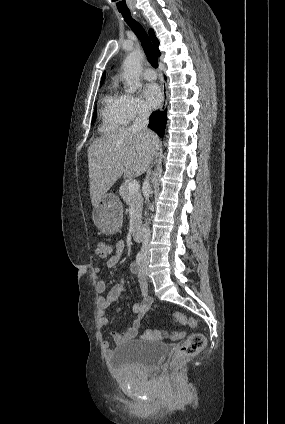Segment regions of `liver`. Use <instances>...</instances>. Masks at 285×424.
<instances>
[{
  "label": "liver",
  "instance_id": "obj_1",
  "mask_svg": "<svg viewBox=\"0 0 285 424\" xmlns=\"http://www.w3.org/2000/svg\"><path fill=\"white\" fill-rule=\"evenodd\" d=\"M158 146L159 139L154 133L134 131L131 127L94 141L87 151L92 205L96 206L122 175L133 178L144 173Z\"/></svg>",
  "mask_w": 285,
  "mask_h": 424
}]
</instances>
